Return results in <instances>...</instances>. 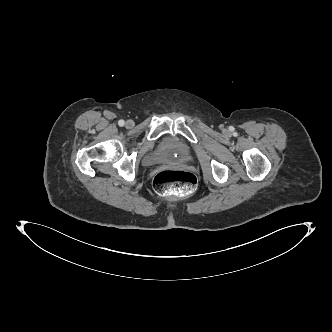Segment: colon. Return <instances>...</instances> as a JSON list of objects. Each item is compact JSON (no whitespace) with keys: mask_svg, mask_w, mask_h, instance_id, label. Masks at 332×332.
I'll list each match as a JSON object with an SVG mask.
<instances>
[{"mask_svg":"<svg viewBox=\"0 0 332 332\" xmlns=\"http://www.w3.org/2000/svg\"><path fill=\"white\" fill-rule=\"evenodd\" d=\"M196 184L194 174L174 169L160 171L153 180L155 190L163 195L189 194L195 190Z\"/></svg>","mask_w":332,"mask_h":332,"instance_id":"obj_1","label":"colon"}]
</instances>
